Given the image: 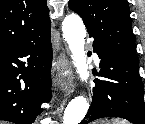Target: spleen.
Here are the masks:
<instances>
[{"label":"spleen","mask_w":145,"mask_h":124,"mask_svg":"<svg viewBox=\"0 0 145 124\" xmlns=\"http://www.w3.org/2000/svg\"><path fill=\"white\" fill-rule=\"evenodd\" d=\"M112 122L113 124H129L127 121L122 119H113Z\"/></svg>","instance_id":"1"}]
</instances>
